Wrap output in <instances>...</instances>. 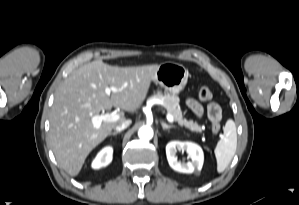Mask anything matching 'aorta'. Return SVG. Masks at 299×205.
<instances>
[{"instance_id": "762f6f07", "label": "aorta", "mask_w": 299, "mask_h": 205, "mask_svg": "<svg viewBox=\"0 0 299 205\" xmlns=\"http://www.w3.org/2000/svg\"><path fill=\"white\" fill-rule=\"evenodd\" d=\"M138 136L143 140H151L153 138V130L150 126H142L138 131Z\"/></svg>"}]
</instances>
